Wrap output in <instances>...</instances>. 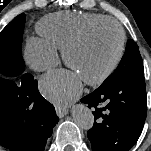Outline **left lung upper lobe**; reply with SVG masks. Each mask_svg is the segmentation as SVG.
<instances>
[{
  "label": "left lung upper lobe",
  "mask_w": 151,
  "mask_h": 151,
  "mask_svg": "<svg viewBox=\"0 0 151 151\" xmlns=\"http://www.w3.org/2000/svg\"><path fill=\"white\" fill-rule=\"evenodd\" d=\"M134 70H144L139 47L133 40H128L125 54L116 70L102 83L99 88L112 85L117 80Z\"/></svg>",
  "instance_id": "5c2ea615"
}]
</instances>
